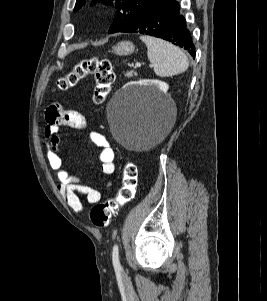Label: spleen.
<instances>
[{
    "mask_svg": "<svg viewBox=\"0 0 267 301\" xmlns=\"http://www.w3.org/2000/svg\"><path fill=\"white\" fill-rule=\"evenodd\" d=\"M147 46V56L154 65V73L160 77L174 76L185 72L189 60L185 53L173 44L151 36H141Z\"/></svg>",
    "mask_w": 267,
    "mask_h": 301,
    "instance_id": "obj_1",
    "label": "spleen"
}]
</instances>
